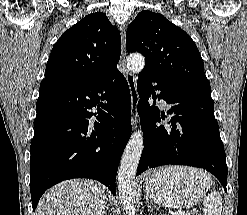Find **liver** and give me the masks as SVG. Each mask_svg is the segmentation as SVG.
Returning <instances> with one entry per match:
<instances>
[{
  "mask_svg": "<svg viewBox=\"0 0 247 215\" xmlns=\"http://www.w3.org/2000/svg\"><path fill=\"white\" fill-rule=\"evenodd\" d=\"M106 203L104 190L98 182L67 180L44 194L36 215H103Z\"/></svg>",
  "mask_w": 247,
  "mask_h": 215,
  "instance_id": "1",
  "label": "liver"
}]
</instances>
